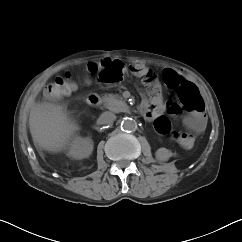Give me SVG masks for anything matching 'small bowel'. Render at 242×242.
Listing matches in <instances>:
<instances>
[{
	"instance_id": "c3829d8e",
	"label": "small bowel",
	"mask_w": 242,
	"mask_h": 242,
	"mask_svg": "<svg viewBox=\"0 0 242 242\" xmlns=\"http://www.w3.org/2000/svg\"><path fill=\"white\" fill-rule=\"evenodd\" d=\"M115 62H117L124 70V66L121 62H119V61H115ZM133 67H140V68H143L144 70H148L140 64H136ZM168 71L172 72L176 76L181 77L177 72H175L174 70H171V69L166 70L165 73ZM163 108H164V106H163L162 102L158 99L152 107H148V106L144 105L143 113L147 119H150L154 116V114H156ZM166 109H167L168 113L174 117L179 116L181 114V110H180L179 106L175 103L168 104ZM184 123L187 126V128L189 129V131L197 133L203 129L204 124H205V119L202 114L195 113V114L186 116L184 118ZM177 141L182 145L183 148L188 149V148L192 147L194 139H193L192 133H180L177 136Z\"/></svg>"
}]
</instances>
